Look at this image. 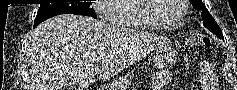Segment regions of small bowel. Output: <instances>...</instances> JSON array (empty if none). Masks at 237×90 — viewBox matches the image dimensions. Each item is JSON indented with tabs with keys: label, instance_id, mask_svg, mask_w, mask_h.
Instances as JSON below:
<instances>
[{
	"label": "small bowel",
	"instance_id": "small-bowel-1",
	"mask_svg": "<svg viewBox=\"0 0 237 90\" xmlns=\"http://www.w3.org/2000/svg\"><path fill=\"white\" fill-rule=\"evenodd\" d=\"M201 76L197 90H218V80L209 63L201 64ZM173 80V74L168 70L156 72L152 77L151 90H162Z\"/></svg>",
	"mask_w": 237,
	"mask_h": 90
}]
</instances>
